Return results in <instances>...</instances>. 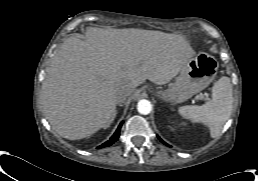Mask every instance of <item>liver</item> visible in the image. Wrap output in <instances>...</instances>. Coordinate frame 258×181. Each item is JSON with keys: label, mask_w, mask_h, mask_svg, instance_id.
Wrapping results in <instances>:
<instances>
[{"label": "liver", "mask_w": 258, "mask_h": 181, "mask_svg": "<svg viewBox=\"0 0 258 181\" xmlns=\"http://www.w3.org/2000/svg\"><path fill=\"white\" fill-rule=\"evenodd\" d=\"M195 54L180 35L89 28L86 40L66 39L50 62L43 113L63 138L83 139L111 121L119 95L130 96L146 79L168 83Z\"/></svg>", "instance_id": "obj_1"}]
</instances>
